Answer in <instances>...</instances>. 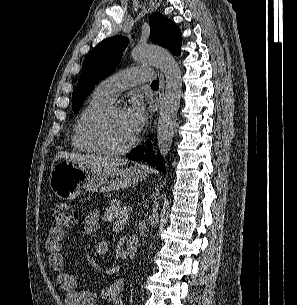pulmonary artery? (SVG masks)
<instances>
[{
  "label": "pulmonary artery",
  "instance_id": "obj_1",
  "mask_svg": "<svg viewBox=\"0 0 297 305\" xmlns=\"http://www.w3.org/2000/svg\"><path fill=\"white\" fill-rule=\"evenodd\" d=\"M152 79L153 72L149 69L129 68L114 73L101 81L97 90L110 101H114L124 90L142 82H149Z\"/></svg>",
  "mask_w": 297,
  "mask_h": 305
}]
</instances>
